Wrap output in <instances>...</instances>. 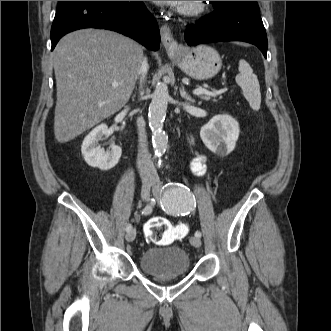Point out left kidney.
I'll return each instance as SVG.
<instances>
[{
  "label": "left kidney",
  "mask_w": 331,
  "mask_h": 331,
  "mask_svg": "<svg viewBox=\"0 0 331 331\" xmlns=\"http://www.w3.org/2000/svg\"><path fill=\"white\" fill-rule=\"evenodd\" d=\"M200 136L209 150L219 156H226L235 148L239 125L230 115H216L201 128Z\"/></svg>",
  "instance_id": "obj_1"
}]
</instances>
